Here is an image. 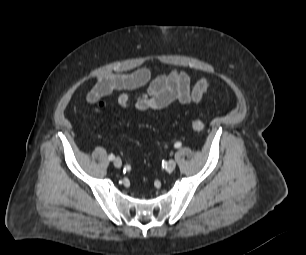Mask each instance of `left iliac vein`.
<instances>
[{"mask_svg":"<svg viewBox=\"0 0 306 255\" xmlns=\"http://www.w3.org/2000/svg\"><path fill=\"white\" fill-rule=\"evenodd\" d=\"M175 167H176V162L175 160L171 159L166 164V171L168 173H171L175 169Z\"/></svg>","mask_w":306,"mask_h":255,"instance_id":"1","label":"left iliac vein"}]
</instances>
